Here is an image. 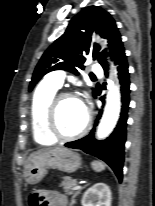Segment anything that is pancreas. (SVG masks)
Instances as JSON below:
<instances>
[{
    "mask_svg": "<svg viewBox=\"0 0 155 206\" xmlns=\"http://www.w3.org/2000/svg\"><path fill=\"white\" fill-rule=\"evenodd\" d=\"M77 185L76 179H71L70 177H63V181L60 186L63 187L64 191L71 194L74 192V187Z\"/></svg>",
    "mask_w": 155,
    "mask_h": 206,
    "instance_id": "1",
    "label": "pancreas"
}]
</instances>
